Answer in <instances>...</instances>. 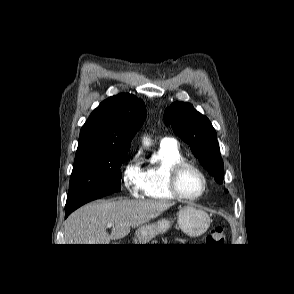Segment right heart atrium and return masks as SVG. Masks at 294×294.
Instances as JSON below:
<instances>
[{"mask_svg":"<svg viewBox=\"0 0 294 294\" xmlns=\"http://www.w3.org/2000/svg\"><path fill=\"white\" fill-rule=\"evenodd\" d=\"M122 183L131 196L139 197L142 194L143 166L138 152L134 153L125 164Z\"/></svg>","mask_w":294,"mask_h":294,"instance_id":"1","label":"right heart atrium"}]
</instances>
